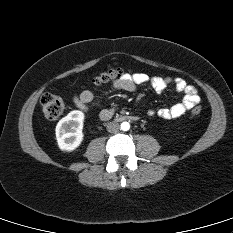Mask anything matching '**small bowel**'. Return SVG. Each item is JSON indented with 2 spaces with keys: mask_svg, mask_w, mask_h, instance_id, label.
<instances>
[{
  "mask_svg": "<svg viewBox=\"0 0 233 233\" xmlns=\"http://www.w3.org/2000/svg\"><path fill=\"white\" fill-rule=\"evenodd\" d=\"M146 83H149L157 93L163 92L168 85L174 84L177 92L185 94L183 100L179 103L158 110H149L148 114L150 116L157 115L162 119H175L182 116L200 101L196 88L180 77L149 76L145 73H134L131 75L126 74L120 79L114 81L113 87L115 89L135 92L139 85ZM93 98L94 94L91 90H84L75 95L73 97V101L80 110L87 111L93 101ZM113 114L114 109H104L101 111L100 117L103 120H108L113 116Z\"/></svg>",
  "mask_w": 233,
  "mask_h": 233,
  "instance_id": "small-bowel-1",
  "label": "small bowel"
}]
</instances>
